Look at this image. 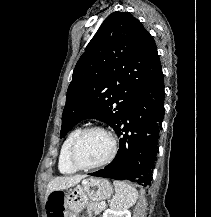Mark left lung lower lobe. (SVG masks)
<instances>
[{
    "mask_svg": "<svg viewBox=\"0 0 211 217\" xmlns=\"http://www.w3.org/2000/svg\"><path fill=\"white\" fill-rule=\"evenodd\" d=\"M164 75L162 69L133 98L115 127L120 146L114 160L92 176L150 184L164 117Z\"/></svg>",
    "mask_w": 211,
    "mask_h": 217,
    "instance_id": "obj_1",
    "label": "left lung lower lobe"
}]
</instances>
